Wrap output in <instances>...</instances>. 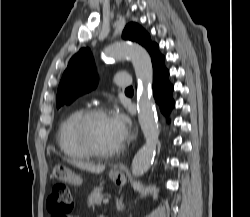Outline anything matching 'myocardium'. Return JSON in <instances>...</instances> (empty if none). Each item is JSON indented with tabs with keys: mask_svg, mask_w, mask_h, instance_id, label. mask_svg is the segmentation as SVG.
I'll return each instance as SVG.
<instances>
[{
	"mask_svg": "<svg viewBox=\"0 0 250 217\" xmlns=\"http://www.w3.org/2000/svg\"><path fill=\"white\" fill-rule=\"evenodd\" d=\"M107 115V110L103 107H94L86 110L78 119L75 125V134L80 145L92 156L112 157L119 154L124 146L121 144L117 148L106 150L99 148L92 140L90 125L92 121L100 116Z\"/></svg>",
	"mask_w": 250,
	"mask_h": 217,
	"instance_id": "1",
	"label": "myocardium"
}]
</instances>
